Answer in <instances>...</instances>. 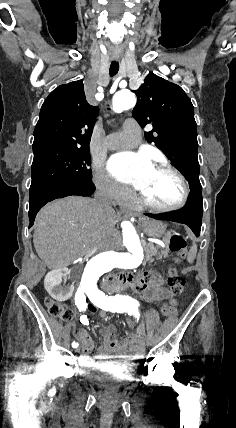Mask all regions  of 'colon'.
I'll use <instances>...</instances> for the list:
<instances>
[{
  "label": "colon",
  "instance_id": "5ec220e1",
  "mask_svg": "<svg viewBox=\"0 0 236 428\" xmlns=\"http://www.w3.org/2000/svg\"><path fill=\"white\" fill-rule=\"evenodd\" d=\"M169 248L180 258L186 255V241L181 235L174 234L171 236ZM168 284L173 295L179 296L183 293L185 288V279L178 273L174 266H171L168 269ZM45 304L52 317L65 322L70 321L71 312L63 304L52 299H46ZM162 313L167 317H174L176 315V309L173 305L165 303L162 306ZM126 324L128 327L134 326V322L131 319L127 320Z\"/></svg>",
  "mask_w": 236,
  "mask_h": 428
}]
</instances>
